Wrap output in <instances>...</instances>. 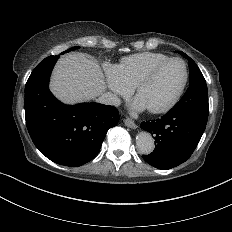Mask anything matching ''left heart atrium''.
Segmentation results:
<instances>
[{"label": "left heart atrium", "mask_w": 232, "mask_h": 232, "mask_svg": "<svg viewBox=\"0 0 232 232\" xmlns=\"http://www.w3.org/2000/svg\"><path fill=\"white\" fill-rule=\"evenodd\" d=\"M133 109L138 112L147 110V108L137 98L133 101Z\"/></svg>", "instance_id": "39dd6f15"}]
</instances>
